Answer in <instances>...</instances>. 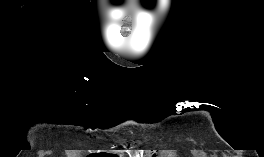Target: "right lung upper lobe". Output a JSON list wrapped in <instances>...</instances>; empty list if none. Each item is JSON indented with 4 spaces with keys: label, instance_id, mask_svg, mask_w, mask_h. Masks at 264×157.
<instances>
[{
    "label": "right lung upper lobe",
    "instance_id": "obj_1",
    "mask_svg": "<svg viewBox=\"0 0 264 157\" xmlns=\"http://www.w3.org/2000/svg\"><path fill=\"white\" fill-rule=\"evenodd\" d=\"M94 156H98V157H116L114 155H109V154H97V155H94Z\"/></svg>",
    "mask_w": 264,
    "mask_h": 157
}]
</instances>
